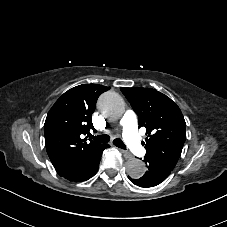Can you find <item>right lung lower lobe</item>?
Instances as JSON below:
<instances>
[{
	"label": "right lung lower lobe",
	"mask_w": 227,
	"mask_h": 227,
	"mask_svg": "<svg viewBox=\"0 0 227 227\" xmlns=\"http://www.w3.org/2000/svg\"><path fill=\"white\" fill-rule=\"evenodd\" d=\"M107 147H109V145L104 144L100 148L90 152L85 157L83 164L75 171L56 168L55 170L60 176H63L70 181H86L96 174L99 168V162L101 159L102 152Z\"/></svg>",
	"instance_id": "right-lung-lower-lobe-1"
}]
</instances>
